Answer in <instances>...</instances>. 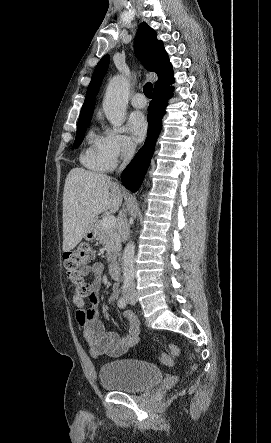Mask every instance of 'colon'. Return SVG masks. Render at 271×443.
Returning <instances> with one entry per match:
<instances>
[{
  "mask_svg": "<svg viewBox=\"0 0 271 443\" xmlns=\"http://www.w3.org/2000/svg\"><path fill=\"white\" fill-rule=\"evenodd\" d=\"M94 259V251L88 244H81L63 254V265L68 279L74 284V292L85 299L92 294L91 284L84 281L81 269L89 265ZM180 354L177 344H170L168 349L161 354L164 364L172 366Z\"/></svg>",
  "mask_w": 271,
  "mask_h": 443,
  "instance_id": "colon-1",
  "label": "colon"
}]
</instances>
